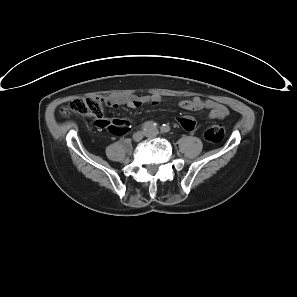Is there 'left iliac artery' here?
<instances>
[{"label": "left iliac artery", "mask_w": 297, "mask_h": 297, "mask_svg": "<svg viewBox=\"0 0 297 297\" xmlns=\"http://www.w3.org/2000/svg\"><path fill=\"white\" fill-rule=\"evenodd\" d=\"M169 130H170V127L167 126V125H165V124L161 127V132H162V133H166V132H168Z\"/></svg>", "instance_id": "1"}]
</instances>
